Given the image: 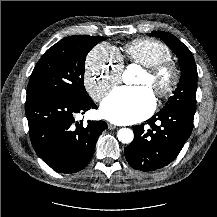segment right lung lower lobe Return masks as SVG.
I'll return each mask as SVG.
<instances>
[{"mask_svg": "<svg viewBox=\"0 0 217 217\" xmlns=\"http://www.w3.org/2000/svg\"><path fill=\"white\" fill-rule=\"evenodd\" d=\"M96 108L91 98L74 101L60 98L26 100L25 112L31 143L37 155L52 169L75 173L91 160L96 141L107 124L88 121L86 127L75 116Z\"/></svg>", "mask_w": 217, "mask_h": 217, "instance_id": "obj_1", "label": "right lung lower lobe"}]
</instances>
